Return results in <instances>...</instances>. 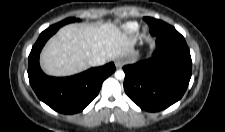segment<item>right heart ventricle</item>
I'll list each match as a JSON object with an SVG mask.
<instances>
[{"mask_svg": "<svg viewBox=\"0 0 225 132\" xmlns=\"http://www.w3.org/2000/svg\"><path fill=\"white\" fill-rule=\"evenodd\" d=\"M138 29V23L129 21L121 25V30L126 34H132Z\"/></svg>", "mask_w": 225, "mask_h": 132, "instance_id": "1", "label": "right heart ventricle"}]
</instances>
